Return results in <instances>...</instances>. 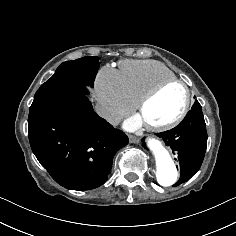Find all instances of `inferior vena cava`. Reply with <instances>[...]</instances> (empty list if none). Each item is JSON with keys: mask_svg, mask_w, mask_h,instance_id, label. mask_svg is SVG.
I'll return each mask as SVG.
<instances>
[{"mask_svg": "<svg viewBox=\"0 0 236 236\" xmlns=\"http://www.w3.org/2000/svg\"><path fill=\"white\" fill-rule=\"evenodd\" d=\"M96 112L99 116L105 118L108 122H110L111 124H115L116 123V117L114 115V111H111L109 108H105V107H96Z\"/></svg>", "mask_w": 236, "mask_h": 236, "instance_id": "inferior-vena-cava-1", "label": "inferior vena cava"}]
</instances>
